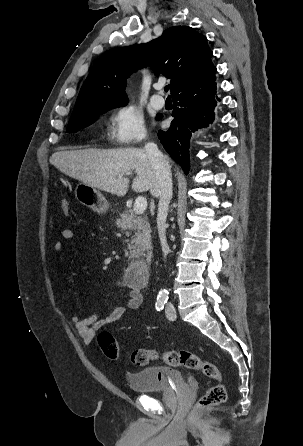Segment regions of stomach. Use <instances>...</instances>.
<instances>
[{
  "mask_svg": "<svg viewBox=\"0 0 303 446\" xmlns=\"http://www.w3.org/2000/svg\"><path fill=\"white\" fill-rule=\"evenodd\" d=\"M75 197L81 204L99 214L106 213L109 208V203L103 194L98 189L84 183L77 185Z\"/></svg>",
  "mask_w": 303,
  "mask_h": 446,
  "instance_id": "0dacf381",
  "label": "stomach"
}]
</instances>
